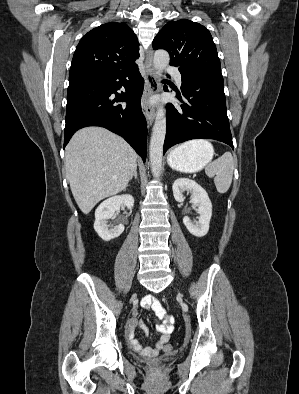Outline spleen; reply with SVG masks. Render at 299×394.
<instances>
[{"mask_svg":"<svg viewBox=\"0 0 299 394\" xmlns=\"http://www.w3.org/2000/svg\"><path fill=\"white\" fill-rule=\"evenodd\" d=\"M192 144V145H212L205 140H194L188 142L181 147ZM234 171V159L230 152H225L221 157L214 160L212 163H209L205 168V173L208 177L214 178V183L218 193L224 194L230 188L233 178Z\"/></svg>","mask_w":299,"mask_h":394,"instance_id":"spleen-1","label":"spleen"}]
</instances>
